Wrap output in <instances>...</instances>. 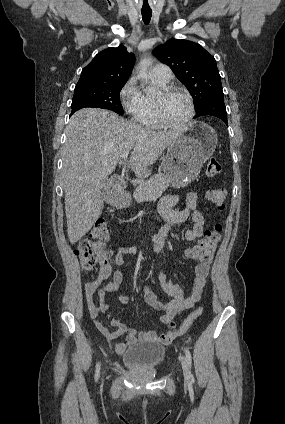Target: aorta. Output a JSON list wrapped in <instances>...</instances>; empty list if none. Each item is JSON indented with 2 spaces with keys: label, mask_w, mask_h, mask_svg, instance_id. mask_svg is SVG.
<instances>
[{
  "label": "aorta",
  "mask_w": 285,
  "mask_h": 424,
  "mask_svg": "<svg viewBox=\"0 0 285 424\" xmlns=\"http://www.w3.org/2000/svg\"><path fill=\"white\" fill-rule=\"evenodd\" d=\"M152 61L148 58H144L140 61L138 65V73L137 76L142 81H145L146 83L149 82L151 79L150 75L148 74V69L151 65ZM155 92L154 88L151 85H148L145 89V93L147 95H151Z\"/></svg>",
  "instance_id": "1"
}]
</instances>
